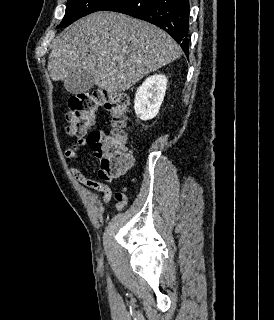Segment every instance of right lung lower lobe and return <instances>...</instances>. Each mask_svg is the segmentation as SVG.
Masks as SVG:
<instances>
[{
	"label": "right lung lower lobe",
	"mask_w": 274,
	"mask_h": 320,
	"mask_svg": "<svg viewBox=\"0 0 274 320\" xmlns=\"http://www.w3.org/2000/svg\"><path fill=\"white\" fill-rule=\"evenodd\" d=\"M103 10L124 13L155 24L169 33L188 56V0H115Z\"/></svg>",
	"instance_id": "1"
}]
</instances>
